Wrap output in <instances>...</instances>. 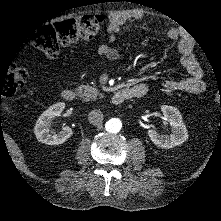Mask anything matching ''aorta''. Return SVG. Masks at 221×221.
I'll return each instance as SVG.
<instances>
[{"instance_id": "aorta-1", "label": "aorta", "mask_w": 221, "mask_h": 221, "mask_svg": "<svg viewBox=\"0 0 221 221\" xmlns=\"http://www.w3.org/2000/svg\"><path fill=\"white\" fill-rule=\"evenodd\" d=\"M122 122L118 118L109 119L105 124V129L109 133H118L121 130Z\"/></svg>"}]
</instances>
